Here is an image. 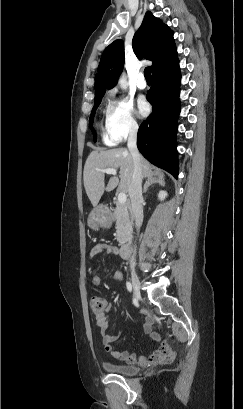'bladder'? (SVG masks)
I'll return each instance as SVG.
<instances>
[{"instance_id": "obj_1", "label": "bladder", "mask_w": 243, "mask_h": 409, "mask_svg": "<svg viewBox=\"0 0 243 409\" xmlns=\"http://www.w3.org/2000/svg\"><path fill=\"white\" fill-rule=\"evenodd\" d=\"M103 367L110 373L121 376H134L140 371V367L138 365H126L121 363H105L103 364Z\"/></svg>"}]
</instances>
